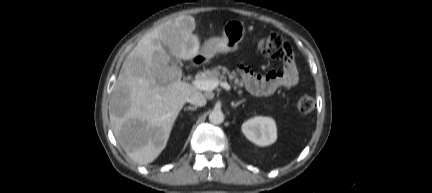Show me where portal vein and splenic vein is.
<instances>
[{
  "label": "portal vein and splenic vein",
  "instance_id": "1",
  "mask_svg": "<svg viewBox=\"0 0 432 193\" xmlns=\"http://www.w3.org/2000/svg\"><path fill=\"white\" fill-rule=\"evenodd\" d=\"M193 85L200 90L204 91H212L214 90L218 85L223 87L225 90H231L230 85L227 82H221L219 80H199L195 79L193 80Z\"/></svg>",
  "mask_w": 432,
  "mask_h": 193
}]
</instances>
